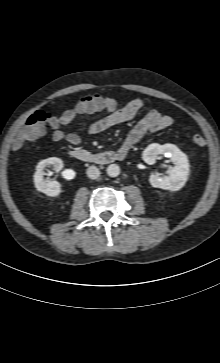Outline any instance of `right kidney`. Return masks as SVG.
<instances>
[{"instance_id":"1","label":"right kidney","mask_w":220,"mask_h":363,"mask_svg":"<svg viewBox=\"0 0 220 363\" xmlns=\"http://www.w3.org/2000/svg\"><path fill=\"white\" fill-rule=\"evenodd\" d=\"M47 166H52L56 172H59L63 168V161L56 157L40 161L36 166L34 184L38 191L45 193L47 196L55 197L61 193V184L55 180H44V169Z\"/></svg>"}]
</instances>
